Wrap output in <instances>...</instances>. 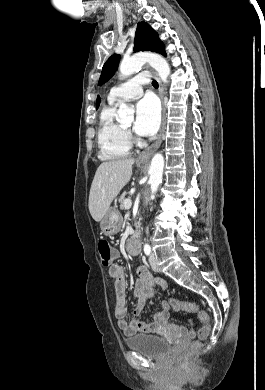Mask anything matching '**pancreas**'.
Wrapping results in <instances>:
<instances>
[{
    "label": "pancreas",
    "instance_id": "pancreas-1",
    "mask_svg": "<svg viewBox=\"0 0 265 390\" xmlns=\"http://www.w3.org/2000/svg\"><path fill=\"white\" fill-rule=\"evenodd\" d=\"M126 200V197H125V194H123L120 199H119V203H120V207L121 209H124V201Z\"/></svg>",
    "mask_w": 265,
    "mask_h": 390
}]
</instances>
